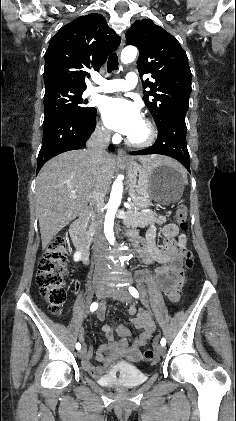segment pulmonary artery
Listing matches in <instances>:
<instances>
[{
	"instance_id": "pulmonary-artery-1",
	"label": "pulmonary artery",
	"mask_w": 236,
	"mask_h": 421,
	"mask_svg": "<svg viewBox=\"0 0 236 421\" xmlns=\"http://www.w3.org/2000/svg\"><path fill=\"white\" fill-rule=\"evenodd\" d=\"M138 77L134 71L128 73L123 79H114L104 82L98 86H91L87 88L85 95L91 96L98 92H117L133 89L137 84Z\"/></svg>"
}]
</instances>
